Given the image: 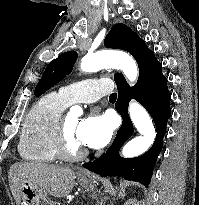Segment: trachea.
<instances>
[{"label": "trachea", "mask_w": 199, "mask_h": 205, "mask_svg": "<svg viewBox=\"0 0 199 205\" xmlns=\"http://www.w3.org/2000/svg\"><path fill=\"white\" fill-rule=\"evenodd\" d=\"M117 98V94L116 93H112L110 96H109V99L110 100H116Z\"/></svg>", "instance_id": "3493384b"}]
</instances>
